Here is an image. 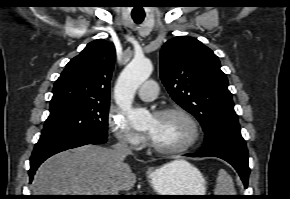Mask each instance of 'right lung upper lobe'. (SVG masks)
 <instances>
[{"label": "right lung upper lobe", "mask_w": 290, "mask_h": 199, "mask_svg": "<svg viewBox=\"0 0 290 199\" xmlns=\"http://www.w3.org/2000/svg\"><path fill=\"white\" fill-rule=\"evenodd\" d=\"M115 57L113 43L90 42L56 80L50 110L78 103H109Z\"/></svg>", "instance_id": "cb5924a9"}]
</instances>
